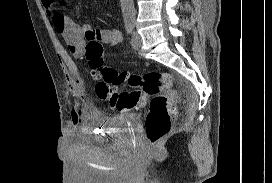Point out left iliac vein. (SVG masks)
I'll use <instances>...</instances> for the list:
<instances>
[{
	"label": "left iliac vein",
	"mask_w": 272,
	"mask_h": 183,
	"mask_svg": "<svg viewBox=\"0 0 272 183\" xmlns=\"http://www.w3.org/2000/svg\"><path fill=\"white\" fill-rule=\"evenodd\" d=\"M131 44L135 50H139L141 48L142 39L138 33L136 32L133 33Z\"/></svg>",
	"instance_id": "left-iliac-vein-1"
}]
</instances>
